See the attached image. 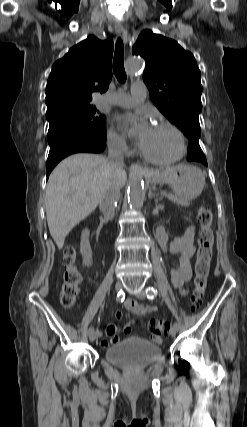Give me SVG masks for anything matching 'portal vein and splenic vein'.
Segmentation results:
<instances>
[{"label": "portal vein and splenic vein", "mask_w": 247, "mask_h": 427, "mask_svg": "<svg viewBox=\"0 0 247 427\" xmlns=\"http://www.w3.org/2000/svg\"><path fill=\"white\" fill-rule=\"evenodd\" d=\"M161 194L163 195V194H165V191H161Z\"/></svg>", "instance_id": "obj_1"}]
</instances>
